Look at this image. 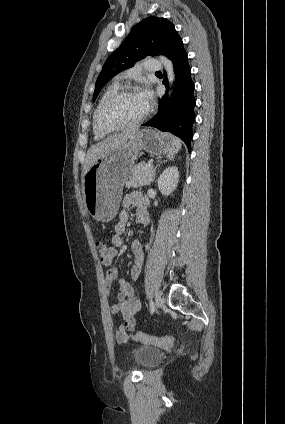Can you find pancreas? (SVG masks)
Instances as JSON below:
<instances>
[{"instance_id": "cf45deb5", "label": "pancreas", "mask_w": 285, "mask_h": 424, "mask_svg": "<svg viewBox=\"0 0 285 424\" xmlns=\"http://www.w3.org/2000/svg\"><path fill=\"white\" fill-rule=\"evenodd\" d=\"M146 163H139L134 166L131 171V176L129 180L126 182V187L128 189L138 188L146 185H150L153 179V168L145 170Z\"/></svg>"}]
</instances>
